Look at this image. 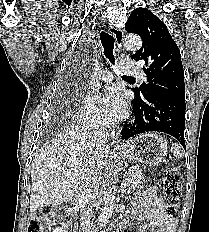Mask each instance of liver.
<instances>
[{"mask_svg":"<svg viewBox=\"0 0 209 232\" xmlns=\"http://www.w3.org/2000/svg\"><path fill=\"white\" fill-rule=\"evenodd\" d=\"M110 147L79 127H67L36 157L31 171L30 211L61 204L82 193L93 166H105Z\"/></svg>","mask_w":209,"mask_h":232,"instance_id":"obj_1","label":"liver"}]
</instances>
